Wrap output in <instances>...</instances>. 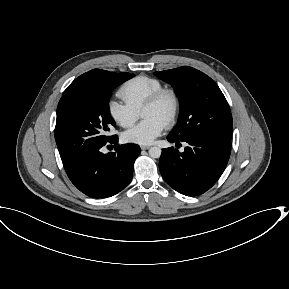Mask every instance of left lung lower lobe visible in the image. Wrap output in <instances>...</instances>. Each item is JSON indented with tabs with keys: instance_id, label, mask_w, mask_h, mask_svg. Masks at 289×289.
Wrapping results in <instances>:
<instances>
[{
	"instance_id": "0a47b994",
	"label": "left lung lower lobe",
	"mask_w": 289,
	"mask_h": 289,
	"mask_svg": "<svg viewBox=\"0 0 289 289\" xmlns=\"http://www.w3.org/2000/svg\"><path fill=\"white\" fill-rule=\"evenodd\" d=\"M171 143L187 142L183 153L162 150L159 169L163 179L177 192L197 196L209 190L223 173L231 153V140L193 136L179 140L168 135Z\"/></svg>"
}]
</instances>
